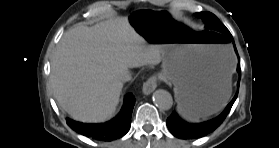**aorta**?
Returning <instances> with one entry per match:
<instances>
[{
    "instance_id": "obj_1",
    "label": "aorta",
    "mask_w": 279,
    "mask_h": 148,
    "mask_svg": "<svg viewBox=\"0 0 279 148\" xmlns=\"http://www.w3.org/2000/svg\"><path fill=\"white\" fill-rule=\"evenodd\" d=\"M153 102L160 110H169L173 105L171 94L163 89L156 90L153 93Z\"/></svg>"
}]
</instances>
